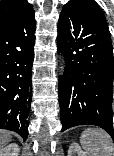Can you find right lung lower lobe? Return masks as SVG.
<instances>
[{
  "label": "right lung lower lobe",
  "mask_w": 114,
  "mask_h": 156,
  "mask_svg": "<svg viewBox=\"0 0 114 156\" xmlns=\"http://www.w3.org/2000/svg\"><path fill=\"white\" fill-rule=\"evenodd\" d=\"M34 10L0 26V128L28 135L35 43Z\"/></svg>",
  "instance_id": "right-lung-lower-lobe-1"
}]
</instances>
